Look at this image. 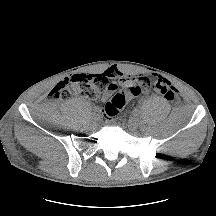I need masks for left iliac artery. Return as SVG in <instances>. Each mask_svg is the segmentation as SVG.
I'll use <instances>...</instances> for the list:
<instances>
[{
    "label": "left iliac artery",
    "instance_id": "obj_1",
    "mask_svg": "<svg viewBox=\"0 0 216 216\" xmlns=\"http://www.w3.org/2000/svg\"><path fill=\"white\" fill-rule=\"evenodd\" d=\"M139 113H140L139 109H135V110H134V114H135L136 116H138Z\"/></svg>",
    "mask_w": 216,
    "mask_h": 216
}]
</instances>
